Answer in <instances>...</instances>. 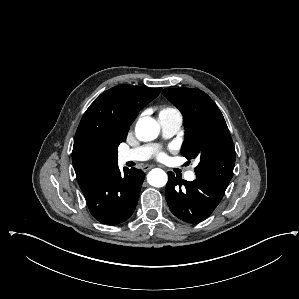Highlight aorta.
Returning a JSON list of instances; mask_svg holds the SVG:
<instances>
[{
  "label": "aorta",
  "instance_id": "762f6f07",
  "mask_svg": "<svg viewBox=\"0 0 299 299\" xmlns=\"http://www.w3.org/2000/svg\"><path fill=\"white\" fill-rule=\"evenodd\" d=\"M160 132L159 124L156 120L148 117L140 119L135 127L136 137L141 141H151L157 138ZM168 180L165 171L159 168L152 169L147 176V181L151 186L163 187Z\"/></svg>",
  "mask_w": 299,
  "mask_h": 299
}]
</instances>
